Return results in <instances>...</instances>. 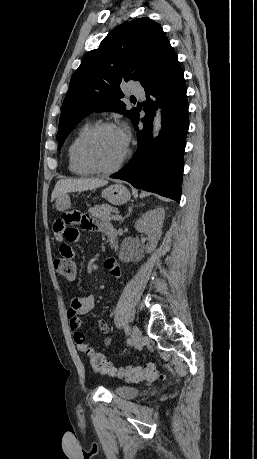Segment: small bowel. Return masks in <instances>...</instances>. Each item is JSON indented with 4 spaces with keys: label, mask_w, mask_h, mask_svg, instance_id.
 Returning a JSON list of instances; mask_svg holds the SVG:
<instances>
[{
    "label": "small bowel",
    "mask_w": 257,
    "mask_h": 459,
    "mask_svg": "<svg viewBox=\"0 0 257 459\" xmlns=\"http://www.w3.org/2000/svg\"><path fill=\"white\" fill-rule=\"evenodd\" d=\"M52 225L54 232L57 234V239L63 241L59 246L60 256L65 258L66 261L82 260V253L76 249L77 241L80 240L81 236L78 227L75 226H83L87 230L104 234L109 230L115 232L112 224L101 221L100 217H88L87 213H78L75 205H70L68 211H61L60 217H55ZM105 268L113 278L118 279L121 277V270L115 259H106ZM95 303L96 300L93 294L73 297L66 311L69 328L73 332V340L78 350L82 353H88L89 347L85 342V334L81 331L82 320L80 316L91 312L95 307ZM96 325L101 332L106 334L105 345L110 346L112 335L109 325L102 319H98Z\"/></svg>",
    "instance_id": "1"
}]
</instances>
